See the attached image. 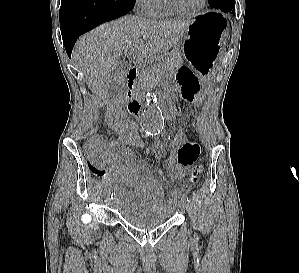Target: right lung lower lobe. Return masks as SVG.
I'll return each mask as SVG.
<instances>
[{"instance_id": "98d812e1", "label": "right lung lower lobe", "mask_w": 299, "mask_h": 273, "mask_svg": "<svg viewBox=\"0 0 299 273\" xmlns=\"http://www.w3.org/2000/svg\"><path fill=\"white\" fill-rule=\"evenodd\" d=\"M135 0H62L60 27L63 43L71 56L77 38L96 26L128 13Z\"/></svg>"}]
</instances>
